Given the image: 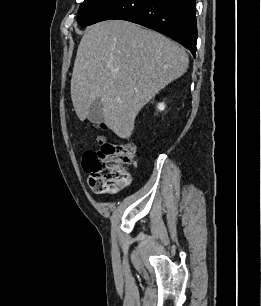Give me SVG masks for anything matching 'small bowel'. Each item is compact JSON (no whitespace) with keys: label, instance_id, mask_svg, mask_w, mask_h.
<instances>
[{"label":"small bowel","instance_id":"c3829d8e","mask_svg":"<svg viewBox=\"0 0 261 306\" xmlns=\"http://www.w3.org/2000/svg\"><path fill=\"white\" fill-rule=\"evenodd\" d=\"M118 188H112V189H109L108 192H114L116 191Z\"/></svg>","mask_w":261,"mask_h":306}]
</instances>
